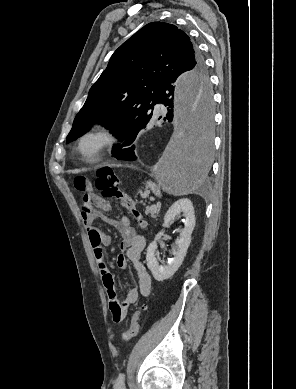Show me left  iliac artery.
Returning a JSON list of instances; mask_svg holds the SVG:
<instances>
[{
    "instance_id": "1",
    "label": "left iliac artery",
    "mask_w": 296,
    "mask_h": 389,
    "mask_svg": "<svg viewBox=\"0 0 296 389\" xmlns=\"http://www.w3.org/2000/svg\"><path fill=\"white\" fill-rule=\"evenodd\" d=\"M115 389H125V375L123 373L119 374L116 380Z\"/></svg>"
}]
</instances>
